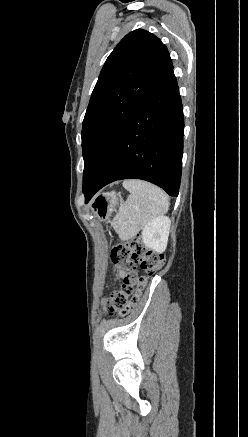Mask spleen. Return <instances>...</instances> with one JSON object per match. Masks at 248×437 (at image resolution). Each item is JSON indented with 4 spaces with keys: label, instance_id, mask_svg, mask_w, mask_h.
Here are the masks:
<instances>
[{
    "label": "spleen",
    "instance_id": "1",
    "mask_svg": "<svg viewBox=\"0 0 248 437\" xmlns=\"http://www.w3.org/2000/svg\"><path fill=\"white\" fill-rule=\"evenodd\" d=\"M130 195L113 218L112 226L121 240L134 237L148 222L168 211L169 199L159 187L142 180H126Z\"/></svg>",
    "mask_w": 248,
    "mask_h": 437
}]
</instances>
